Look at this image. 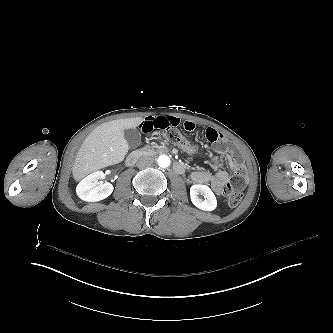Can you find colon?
Masks as SVG:
<instances>
[{
  "mask_svg": "<svg viewBox=\"0 0 333 333\" xmlns=\"http://www.w3.org/2000/svg\"><path fill=\"white\" fill-rule=\"evenodd\" d=\"M142 132V131H141ZM145 134H149L143 132ZM164 137L167 142L173 146L181 148L184 152L190 155H197L198 149L194 143L182 137L177 129H168L164 132ZM241 162L235 164L236 169H241ZM246 176L242 173L236 172L232 174L230 181L223 187V195L227 199L230 207H237L242 200L241 185H243Z\"/></svg>",
  "mask_w": 333,
  "mask_h": 333,
  "instance_id": "1",
  "label": "colon"
}]
</instances>
